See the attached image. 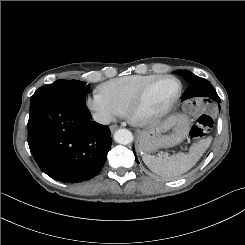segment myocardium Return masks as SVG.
<instances>
[{
  "instance_id": "1",
  "label": "myocardium",
  "mask_w": 245,
  "mask_h": 245,
  "mask_svg": "<svg viewBox=\"0 0 245 245\" xmlns=\"http://www.w3.org/2000/svg\"><path fill=\"white\" fill-rule=\"evenodd\" d=\"M167 79L175 80L178 83V91L174 96V98L163 109L151 114H142V108L148 93L158 83ZM182 90H183V85L178 77L174 75L159 76L156 79L147 83L145 86H143L141 90L137 93V95L134 97V99L132 100V102L130 103L127 109L126 112L127 117L132 123L136 125L146 126V125L153 124L159 121L160 119H162L163 117H165L174 108V106L177 104L181 96Z\"/></svg>"
}]
</instances>
